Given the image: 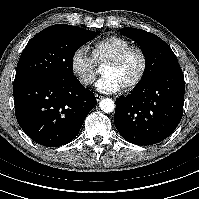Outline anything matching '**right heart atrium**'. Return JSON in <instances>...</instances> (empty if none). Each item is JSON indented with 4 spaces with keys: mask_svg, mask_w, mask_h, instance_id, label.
Here are the masks:
<instances>
[{
    "mask_svg": "<svg viewBox=\"0 0 199 199\" xmlns=\"http://www.w3.org/2000/svg\"><path fill=\"white\" fill-rule=\"evenodd\" d=\"M71 69L83 86L93 83L97 75V65L84 47L77 48L71 57Z\"/></svg>",
    "mask_w": 199,
    "mask_h": 199,
    "instance_id": "d8ad5b80",
    "label": "right heart atrium"
}]
</instances>
